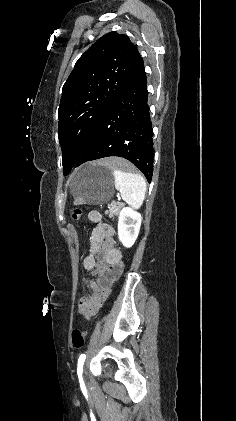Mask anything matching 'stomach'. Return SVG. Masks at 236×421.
Returning a JSON list of instances; mask_svg holds the SVG:
<instances>
[{
  "label": "stomach",
  "mask_w": 236,
  "mask_h": 421,
  "mask_svg": "<svg viewBox=\"0 0 236 421\" xmlns=\"http://www.w3.org/2000/svg\"><path fill=\"white\" fill-rule=\"evenodd\" d=\"M114 170L104 164L86 162L76 168L71 190L78 204H105L113 196Z\"/></svg>",
  "instance_id": "0dacf381"
}]
</instances>
